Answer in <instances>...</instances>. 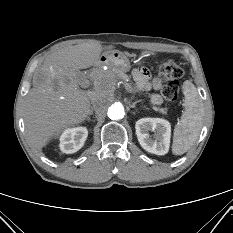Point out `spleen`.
I'll list each match as a JSON object with an SVG mask.
<instances>
[{"mask_svg": "<svg viewBox=\"0 0 233 233\" xmlns=\"http://www.w3.org/2000/svg\"><path fill=\"white\" fill-rule=\"evenodd\" d=\"M183 94L185 111L174 129L172 144L174 155H182L194 145L203 125L202 101L191 81L184 82Z\"/></svg>", "mask_w": 233, "mask_h": 233, "instance_id": "spleen-1", "label": "spleen"}]
</instances>
